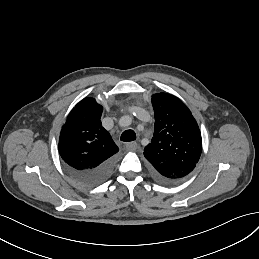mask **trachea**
<instances>
[{"label": "trachea", "mask_w": 259, "mask_h": 259, "mask_svg": "<svg viewBox=\"0 0 259 259\" xmlns=\"http://www.w3.org/2000/svg\"><path fill=\"white\" fill-rule=\"evenodd\" d=\"M120 139L123 142H131L136 139V134L133 130H126L122 133Z\"/></svg>", "instance_id": "trachea-1"}]
</instances>
